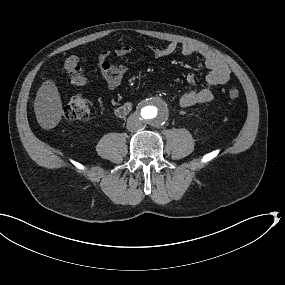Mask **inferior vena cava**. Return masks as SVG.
<instances>
[{"mask_svg":"<svg viewBox=\"0 0 285 285\" xmlns=\"http://www.w3.org/2000/svg\"><path fill=\"white\" fill-rule=\"evenodd\" d=\"M142 121L136 116L131 115L127 120V129L131 132H135L141 129Z\"/></svg>","mask_w":285,"mask_h":285,"instance_id":"602c4592","label":"inferior vena cava"}]
</instances>
